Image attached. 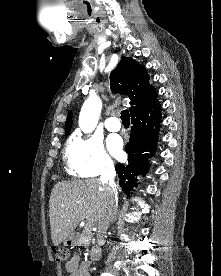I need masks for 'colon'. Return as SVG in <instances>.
<instances>
[{
    "mask_svg": "<svg viewBox=\"0 0 221 276\" xmlns=\"http://www.w3.org/2000/svg\"><path fill=\"white\" fill-rule=\"evenodd\" d=\"M57 249L54 251L57 261L65 262L69 258V253L64 249V245H57Z\"/></svg>",
    "mask_w": 221,
    "mask_h": 276,
    "instance_id": "obj_1",
    "label": "colon"
}]
</instances>
